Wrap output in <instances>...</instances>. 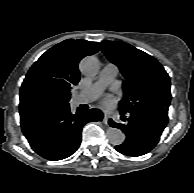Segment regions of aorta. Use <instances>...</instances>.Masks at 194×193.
<instances>
[{
    "label": "aorta",
    "instance_id": "1",
    "mask_svg": "<svg viewBox=\"0 0 194 193\" xmlns=\"http://www.w3.org/2000/svg\"><path fill=\"white\" fill-rule=\"evenodd\" d=\"M80 70L86 76L97 75L99 71L98 59L94 56L85 57L80 63ZM106 136L112 145H120L125 140L124 133L118 128L109 127Z\"/></svg>",
    "mask_w": 194,
    "mask_h": 193
}]
</instances>
